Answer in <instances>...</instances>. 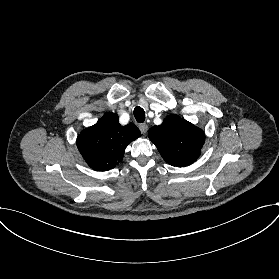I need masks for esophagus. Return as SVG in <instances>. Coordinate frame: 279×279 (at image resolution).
<instances>
[{
	"instance_id": "esophagus-1",
	"label": "esophagus",
	"mask_w": 279,
	"mask_h": 279,
	"mask_svg": "<svg viewBox=\"0 0 279 279\" xmlns=\"http://www.w3.org/2000/svg\"><path fill=\"white\" fill-rule=\"evenodd\" d=\"M139 130L141 131V133L143 135L146 134V132L148 130V125L146 123L139 124Z\"/></svg>"
}]
</instances>
